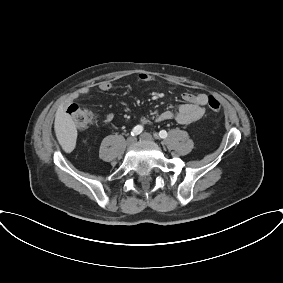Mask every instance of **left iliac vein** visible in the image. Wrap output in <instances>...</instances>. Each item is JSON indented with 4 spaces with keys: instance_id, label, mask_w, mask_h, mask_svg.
I'll list each match as a JSON object with an SVG mask.
<instances>
[{
    "instance_id": "obj_1",
    "label": "left iliac vein",
    "mask_w": 283,
    "mask_h": 283,
    "mask_svg": "<svg viewBox=\"0 0 283 283\" xmlns=\"http://www.w3.org/2000/svg\"><path fill=\"white\" fill-rule=\"evenodd\" d=\"M140 139L142 141H147V142H153L154 141V138L152 137V135L147 133V132L142 133L140 135Z\"/></svg>"
}]
</instances>
